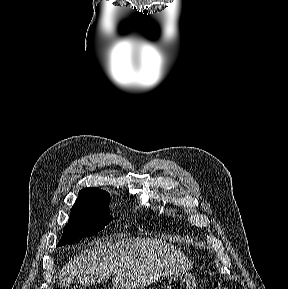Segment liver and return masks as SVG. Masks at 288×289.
Returning <instances> with one entry per match:
<instances>
[{"instance_id":"obj_1","label":"liver","mask_w":288,"mask_h":289,"mask_svg":"<svg viewBox=\"0 0 288 289\" xmlns=\"http://www.w3.org/2000/svg\"><path fill=\"white\" fill-rule=\"evenodd\" d=\"M92 245L63 267L61 281L90 285L107 282L114 274L113 287L140 289L193 266L180 249L158 239L137 237Z\"/></svg>"}]
</instances>
